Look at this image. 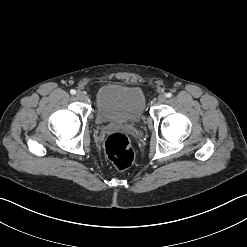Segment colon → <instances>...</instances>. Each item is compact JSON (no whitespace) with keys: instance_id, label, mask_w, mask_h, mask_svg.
<instances>
[{"instance_id":"obj_1","label":"colon","mask_w":247,"mask_h":247,"mask_svg":"<svg viewBox=\"0 0 247 247\" xmlns=\"http://www.w3.org/2000/svg\"><path fill=\"white\" fill-rule=\"evenodd\" d=\"M105 152L119 170H125L133 163L134 151L130 139L123 133H112L107 137Z\"/></svg>"}]
</instances>
